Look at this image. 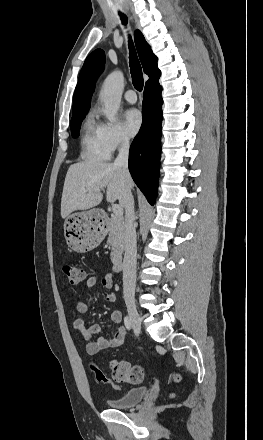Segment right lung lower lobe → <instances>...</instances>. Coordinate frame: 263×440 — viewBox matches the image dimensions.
I'll return each mask as SVG.
<instances>
[{"label":"right lung lower lobe","mask_w":263,"mask_h":440,"mask_svg":"<svg viewBox=\"0 0 263 440\" xmlns=\"http://www.w3.org/2000/svg\"><path fill=\"white\" fill-rule=\"evenodd\" d=\"M162 87L159 78L146 83L143 97V123L129 152V170L133 180L150 204L157 195L162 123Z\"/></svg>","instance_id":"98d812e1"}]
</instances>
